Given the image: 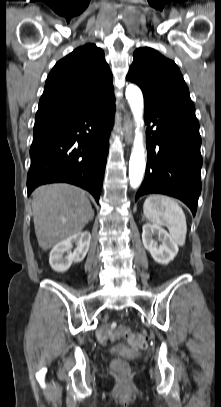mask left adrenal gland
I'll return each instance as SVG.
<instances>
[{
    "mask_svg": "<svg viewBox=\"0 0 221 407\" xmlns=\"http://www.w3.org/2000/svg\"><path fill=\"white\" fill-rule=\"evenodd\" d=\"M142 220H144V216H142Z\"/></svg>",
    "mask_w": 221,
    "mask_h": 407,
    "instance_id": "a2214340",
    "label": "left adrenal gland"
}]
</instances>
